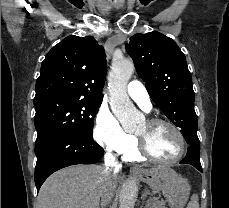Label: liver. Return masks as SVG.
Listing matches in <instances>:
<instances>
[{"label": "liver", "instance_id": "liver-1", "mask_svg": "<svg viewBox=\"0 0 229 208\" xmlns=\"http://www.w3.org/2000/svg\"><path fill=\"white\" fill-rule=\"evenodd\" d=\"M163 168L171 170L170 166H154L150 170L155 172ZM103 170L101 166H70L55 172L44 182L35 208H99L102 184L107 182L110 192H115L118 182L124 178L118 176L116 180H108ZM133 172L138 174L137 170ZM111 198L112 194L109 200Z\"/></svg>", "mask_w": 229, "mask_h": 208}]
</instances>
